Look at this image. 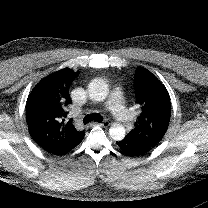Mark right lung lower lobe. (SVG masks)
I'll return each instance as SVG.
<instances>
[{"label":"right lung lower lobe","mask_w":208,"mask_h":208,"mask_svg":"<svg viewBox=\"0 0 208 208\" xmlns=\"http://www.w3.org/2000/svg\"><path fill=\"white\" fill-rule=\"evenodd\" d=\"M84 135L75 139L71 143L65 144V145H63L61 147H58L56 149H53L49 152L52 153V154H55V155H64L67 152H69L70 150H72L74 147H76L83 140Z\"/></svg>","instance_id":"1"}]
</instances>
